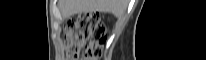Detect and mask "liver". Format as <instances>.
<instances>
[{"label":"liver","instance_id":"1","mask_svg":"<svg viewBox=\"0 0 206 60\" xmlns=\"http://www.w3.org/2000/svg\"><path fill=\"white\" fill-rule=\"evenodd\" d=\"M126 0H60L61 11L65 16L82 12L112 13L119 17L124 12Z\"/></svg>","mask_w":206,"mask_h":60}]
</instances>
